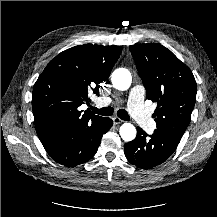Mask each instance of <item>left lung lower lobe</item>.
I'll return each instance as SVG.
<instances>
[{
	"label": "left lung lower lobe",
	"mask_w": 217,
	"mask_h": 217,
	"mask_svg": "<svg viewBox=\"0 0 217 217\" xmlns=\"http://www.w3.org/2000/svg\"><path fill=\"white\" fill-rule=\"evenodd\" d=\"M180 138L156 129L148 135L137 127L136 138L125 144V156L130 163L142 169H150L168 159L177 148Z\"/></svg>",
	"instance_id": "left-lung-lower-lobe-1"
}]
</instances>
